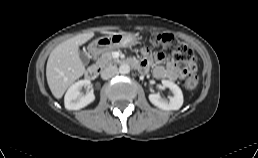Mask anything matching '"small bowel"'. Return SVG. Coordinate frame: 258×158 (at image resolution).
Here are the masks:
<instances>
[{"label":"small bowel","instance_id":"small-bowel-1","mask_svg":"<svg viewBox=\"0 0 258 158\" xmlns=\"http://www.w3.org/2000/svg\"><path fill=\"white\" fill-rule=\"evenodd\" d=\"M141 54L143 59L140 61V71L147 72L148 69L153 65L154 58L152 56L151 51L148 48H142ZM158 61H165V66L156 65L153 67V75L158 79H168L170 81H175L179 77H182L187 72H193L194 68H188L186 70H179L177 65L173 62V60L167 58L164 54L160 53L155 57Z\"/></svg>","mask_w":258,"mask_h":158}]
</instances>
